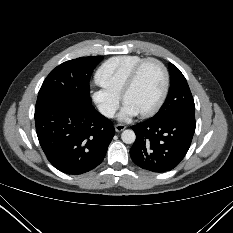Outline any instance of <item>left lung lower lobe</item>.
Wrapping results in <instances>:
<instances>
[{
	"instance_id": "1",
	"label": "left lung lower lobe",
	"mask_w": 233,
	"mask_h": 233,
	"mask_svg": "<svg viewBox=\"0 0 233 233\" xmlns=\"http://www.w3.org/2000/svg\"><path fill=\"white\" fill-rule=\"evenodd\" d=\"M195 127V113H178L162 120L150 118L133 125L136 133L130 149L133 162L152 172L172 170L185 157Z\"/></svg>"
}]
</instances>
